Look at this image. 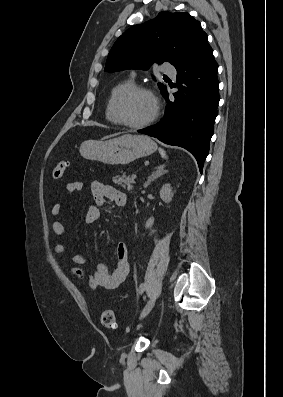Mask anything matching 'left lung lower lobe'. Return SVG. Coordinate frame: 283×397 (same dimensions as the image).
<instances>
[{"label": "left lung lower lobe", "mask_w": 283, "mask_h": 397, "mask_svg": "<svg viewBox=\"0 0 283 397\" xmlns=\"http://www.w3.org/2000/svg\"><path fill=\"white\" fill-rule=\"evenodd\" d=\"M176 70L175 87L179 90L173 94L175 99L172 101L166 90L162 93L167 100L163 119L138 132L185 148L194 155L202 172L220 100L218 65L210 45L194 53Z\"/></svg>", "instance_id": "0a47b994"}]
</instances>
